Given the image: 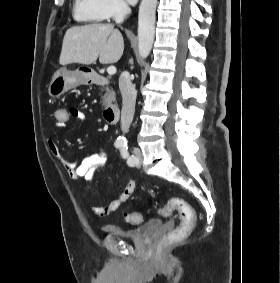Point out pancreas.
Masks as SVG:
<instances>
[{
	"label": "pancreas",
	"instance_id": "pancreas-1",
	"mask_svg": "<svg viewBox=\"0 0 280 283\" xmlns=\"http://www.w3.org/2000/svg\"><path fill=\"white\" fill-rule=\"evenodd\" d=\"M109 96H110V94H109V93H106L105 96L103 97V102H104L105 105L107 104V101H108V99H109Z\"/></svg>",
	"mask_w": 280,
	"mask_h": 283
}]
</instances>
